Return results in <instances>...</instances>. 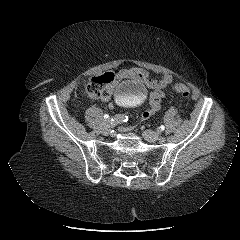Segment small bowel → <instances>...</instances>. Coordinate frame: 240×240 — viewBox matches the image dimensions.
Here are the masks:
<instances>
[{
  "mask_svg": "<svg viewBox=\"0 0 240 240\" xmlns=\"http://www.w3.org/2000/svg\"><path fill=\"white\" fill-rule=\"evenodd\" d=\"M111 74L113 76V80L107 85L108 94L99 97L101 101H108L107 105L109 110L115 109V100H109V98L114 93L117 84L123 79H135L144 83L148 88L153 90L150 96L149 107L142 114L143 119L149 118L153 113L160 109L161 101L164 98L162 89L169 85L172 81V76L169 74H164L159 79H153L146 70L137 67L123 69L116 74Z\"/></svg>",
  "mask_w": 240,
  "mask_h": 240,
  "instance_id": "c3829d8e",
  "label": "small bowel"
}]
</instances>
